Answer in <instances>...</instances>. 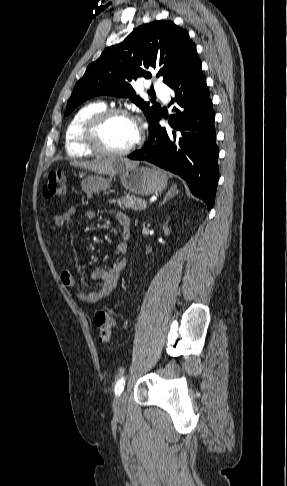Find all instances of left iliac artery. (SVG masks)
Here are the masks:
<instances>
[{"instance_id":"obj_1","label":"left iliac artery","mask_w":287,"mask_h":486,"mask_svg":"<svg viewBox=\"0 0 287 486\" xmlns=\"http://www.w3.org/2000/svg\"><path fill=\"white\" fill-rule=\"evenodd\" d=\"M124 386H125V377H121L117 381L115 388H114L116 396H119L122 393Z\"/></svg>"}]
</instances>
